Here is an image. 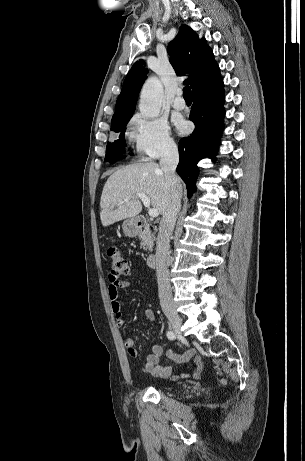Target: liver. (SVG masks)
I'll use <instances>...</instances> for the list:
<instances>
[{
    "instance_id": "6515ba94",
    "label": "liver",
    "mask_w": 305,
    "mask_h": 461,
    "mask_svg": "<svg viewBox=\"0 0 305 461\" xmlns=\"http://www.w3.org/2000/svg\"><path fill=\"white\" fill-rule=\"evenodd\" d=\"M177 188L182 192L178 178ZM138 193H144L153 208L163 215L171 195L164 172L155 162L134 163L115 171L106 181L100 200V218L104 227L127 218H135L142 205ZM130 197L128 201H124Z\"/></svg>"
}]
</instances>
